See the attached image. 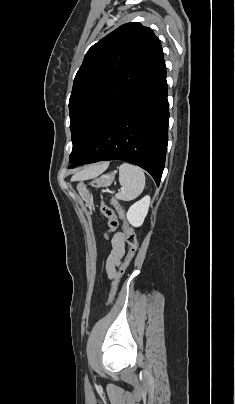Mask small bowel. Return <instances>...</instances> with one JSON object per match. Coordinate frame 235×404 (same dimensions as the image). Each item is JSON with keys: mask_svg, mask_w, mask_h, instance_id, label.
<instances>
[{"mask_svg": "<svg viewBox=\"0 0 235 404\" xmlns=\"http://www.w3.org/2000/svg\"><path fill=\"white\" fill-rule=\"evenodd\" d=\"M111 251L105 262V272L109 279L113 278L125 258V237L122 232L114 234L111 240Z\"/></svg>", "mask_w": 235, "mask_h": 404, "instance_id": "obj_1", "label": "small bowel"}]
</instances>
